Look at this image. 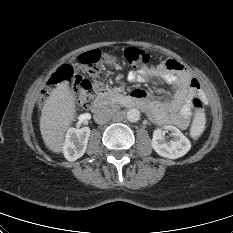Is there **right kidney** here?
Returning a JSON list of instances; mask_svg holds the SVG:
<instances>
[{
  "mask_svg": "<svg viewBox=\"0 0 233 233\" xmlns=\"http://www.w3.org/2000/svg\"><path fill=\"white\" fill-rule=\"evenodd\" d=\"M90 136L89 127L80 129L70 128L66 133L63 153L68 161H75L82 157L87 149Z\"/></svg>",
  "mask_w": 233,
  "mask_h": 233,
  "instance_id": "1",
  "label": "right kidney"
}]
</instances>
